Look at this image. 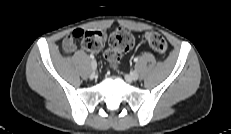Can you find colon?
Masks as SVG:
<instances>
[{
    "instance_id": "colon-1",
    "label": "colon",
    "mask_w": 231,
    "mask_h": 134,
    "mask_svg": "<svg viewBox=\"0 0 231 134\" xmlns=\"http://www.w3.org/2000/svg\"><path fill=\"white\" fill-rule=\"evenodd\" d=\"M72 36L75 40L81 39L83 46L97 52L103 48L106 42V35L99 30L76 29ZM145 39L149 46L159 54H164L167 50V42L164 37L157 32H147ZM110 47L106 51L105 57L111 65H115L123 52L130 50L134 44L133 36L124 28H115L109 35Z\"/></svg>"
}]
</instances>
